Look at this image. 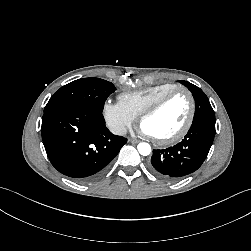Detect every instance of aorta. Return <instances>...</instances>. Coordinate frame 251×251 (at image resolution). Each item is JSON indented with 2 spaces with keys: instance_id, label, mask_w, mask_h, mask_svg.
Returning <instances> with one entry per match:
<instances>
[{
  "instance_id": "1",
  "label": "aorta",
  "mask_w": 251,
  "mask_h": 251,
  "mask_svg": "<svg viewBox=\"0 0 251 251\" xmlns=\"http://www.w3.org/2000/svg\"><path fill=\"white\" fill-rule=\"evenodd\" d=\"M137 149L138 152L143 156H147L151 153V146L146 142L139 143Z\"/></svg>"
}]
</instances>
